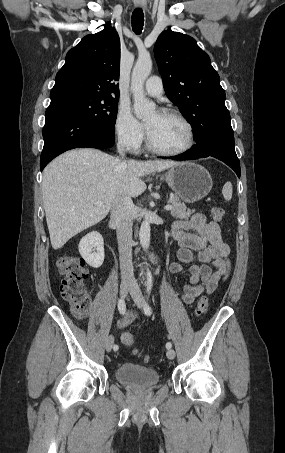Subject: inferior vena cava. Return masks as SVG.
I'll list each match as a JSON object with an SVG mask.
<instances>
[{
    "instance_id": "602c4592",
    "label": "inferior vena cava",
    "mask_w": 285,
    "mask_h": 453,
    "mask_svg": "<svg viewBox=\"0 0 285 453\" xmlns=\"http://www.w3.org/2000/svg\"><path fill=\"white\" fill-rule=\"evenodd\" d=\"M118 153L124 157V145L117 144ZM135 206L131 197L117 196L111 207L110 223L116 228L119 249V260L122 282L134 284V269L132 264V226Z\"/></svg>"
}]
</instances>
